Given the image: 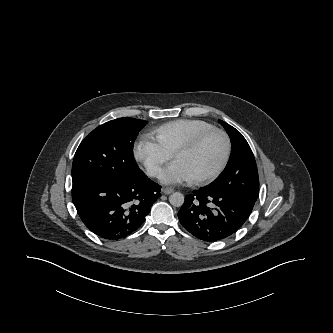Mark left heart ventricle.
Segmentation results:
<instances>
[{
    "instance_id": "b2bd125f",
    "label": "left heart ventricle",
    "mask_w": 333,
    "mask_h": 333,
    "mask_svg": "<svg viewBox=\"0 0 333 333\" xmlns=\"http://www.w3.org/2000/svg\"><path fill=\"white\" fill-rule=\"evenodd\" d=\"M225 154V141L219 134H212L193 151L175 159L193 178L204 177L218 168Z\"/></svg>"
}]
</instances>
